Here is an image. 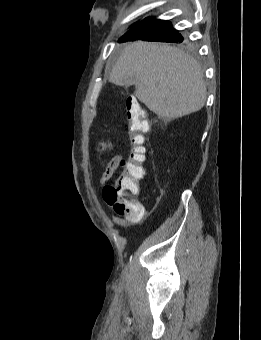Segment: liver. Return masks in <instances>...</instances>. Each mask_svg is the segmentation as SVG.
I'll list each match as a JSON object with an SVG mask.
<instances>
[{
    "label": "liver",
    "instance_id": "obj_1",
    "mask_svg": "<svg viewBox=\"0 0 261 340\" xmlns=\"http://www.w3.org/2000/svg\"><path fill=\"white\" fill-rule=\"evenodd\" d=\"M110 82L118 86L133 83L136 97L159 118L189 115L206 102V86L197 61L167 44H128L110 73Z\"/></svg>",
    "mask_w": 261,
    "mask_h": 340
}]
</instances>
